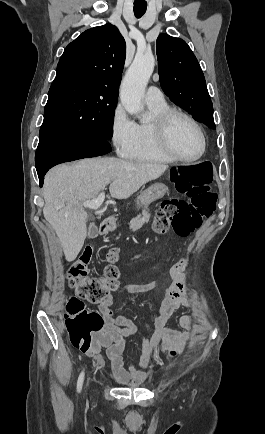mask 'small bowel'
Here are the masks:
<instances>
[{"label": "small bowel", "instance_id": "1", "mask_svg": "<svg viewBox=\"0 0 265 434\" xmlns=\"http://www.w3.org/2000/svg\"><path fill=\"white\" fill-rule=\"evenodd\" d=\"M187 259L181 257L170 269L172 282L166 284L162 281H152L145 284L127 285L120 290V293L138 294L147 293L157 288H162L163 297L159 309L152 313L151 318L154 322V333L151 337L142 338V352L138 360L131 359L128 366H125L123 352L126 347V337L137 333V326L134 321L127 316L117 313L111 309L113 296H109L98 306V312L104 319L103 328L94 333L92 344L87 352H80L83 356L87 354L95 358L96 364L102 363L100 352L106 349V355L111 363V370L114 378L119 381V385H124L130 378V385L136 387L144 372L150 367L152 360L160 352L171 348L183 351L189 344L194 330V318L189 314L179 317V325L183 331L170 329L166 326L168 319L180 307H189L191 299L187 287L185 269Z\"/></svg>", "mask_w": 265, "mask_h": 434}]
</instances>
